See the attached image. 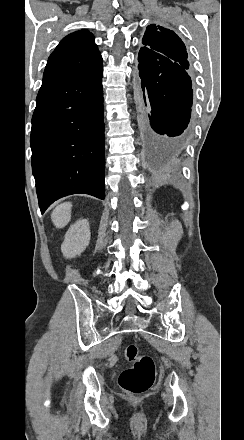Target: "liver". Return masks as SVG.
I'll use <instances>...</instances> for the list:
<instances>
[{"label":"liver","mask_w":244,"mask_h":440,"mask_svg":"<svg viewBox=\"0 0 244 440\" xmlns=\"http://www.w3.org/2000/svg\"><path fill=\"white\" fill-rule=\"evenodd\" d=\"M72 204L65 202V204H59L56 206L51 214L52 222L55 228H65L68 222L71 220Z\"/></svg>","instance_id":"obj_1"}]
</instances>
